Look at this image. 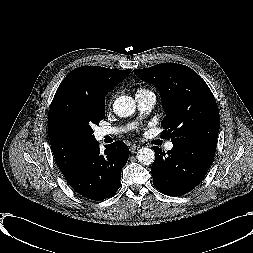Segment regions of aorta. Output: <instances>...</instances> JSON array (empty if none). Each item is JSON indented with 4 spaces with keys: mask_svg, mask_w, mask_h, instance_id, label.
<instances>
[{
    "mask_svg": "<svg viewBox=\"0 0 253 253\" xmlns=\"http://www.w3.org/2000/svg\"><path fill=\"white\" fill-rule=\"evenodd\" d=\"M136 109V102L130 96H120L113 104V110L119 117L131 116ZM137 159L143 165H150L155 160L153 149L142 147L137 152Z\"/></svg>",
    "mask_w": 253,
    "mask_h": 253,
    "instance_id": "aorta-1",
    "label": "aorta"
}]
</instances>
